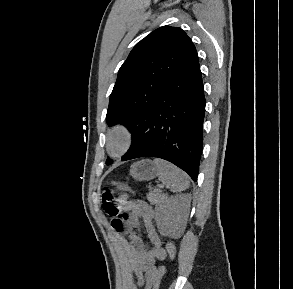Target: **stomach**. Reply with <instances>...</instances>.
Listing matches in <instances>:
<instances>
[{
    "label": "stomach",
    "instance_id": "stomach-1",
    "mask_svg": "<svg viewBox=\"0 0 293 289\" xmlns=\"http://www.w3.org/2000/svg\"><path fill=\"white\" fill-rule=\"evenodd\" d=\"M130 175L137 181H149L158 176L154 161L145 159L131 165Z\"/></svg>",
    "mask_w": 293,
    "mask_h": 289
}]
</instances>
